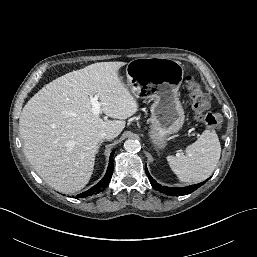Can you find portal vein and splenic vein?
<instances>
[{
  "label": "portal vein and splenic vein",
  "instance_id": "portal-vein-and-splenic-vein-1",
  "mask_svg": "<svg viewBox=\"0 0 257 257\" xmlns=\"http://www.w3.org/2000/svg\"><path fill=\"white\" fill-rule=\"evenodd\" d=\"M90 103L92 105V110L95 115H99L101 113L102 103L98 101V96L90 97Z\"/></svg>",
  "mask_w": 257,
  "mask_h": 257
}]
</instances>
